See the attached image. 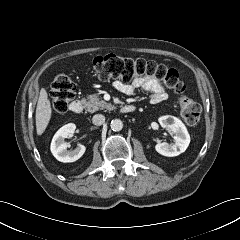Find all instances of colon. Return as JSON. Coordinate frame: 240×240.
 I'll return each instance as SVG.
<instances>
[{
  "label": "colon",
  "mask_w": 240,
  "mask_h": 240,
  "mask_svg": "<svg viewBox=\"0 0 240 240\" xmlns=\"http://www.w3.org/2000/svg\"><path fill=\"white\" fill-rule=\"evenodd\" d=\"M93 69L102 81L120 80L130 83L138 78L150 77L162 80L174 93L182 94L185 85L175 69L168 68L152 60L123 58L113 54L98 56L93 61ZM76 86L66 74H58L52 83L51 109L54 114L66 111L68 103L75 96ZM179 107L184 121L189 125L198 123L200 106L187 96L181 95Z\"/></svg>",
  "instance_id": "colon-1"
}]
</instances>
